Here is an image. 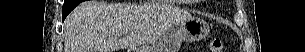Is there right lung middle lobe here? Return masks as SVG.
<instances>
[{
    "label": "right lung middle lobe",
    "instance_id": "dd1d6c3e",
    "mask_svg": "<svg viewBox=\"0 0 305 52\" xmlns=\"http://www.w3.org/2000/svg\"><path fill=\"white\" fill-rule=\"evenodd\" d=\"M83 1H85V0H65L64 4L76 7L79 3L83 2Z\"/></svg>",
    "mask_w": 305,
    "mask_h": 52
}]
</instances>
